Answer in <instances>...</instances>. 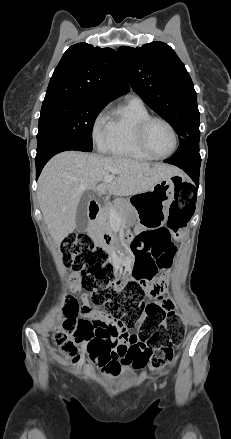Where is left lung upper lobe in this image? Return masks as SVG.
I'll use <instances>...</instances> for the list:
<instances>
[{"instance_id":"obj_1","label":"left lung upper lobe","mask_w":231,"mask_h":439,"mask_svg":"<svg viewBox=\"0 0 231 439\" xmlns=\"http://www.w3.org/2000/svg\"><path fill=\"white\" fill-rule=\"evenodd\" d=\"M117 54L133 90L174 128L180 142L200 134L194 85L170 46L159 41L122 46Z\"/></svg>"}]
</instances>
